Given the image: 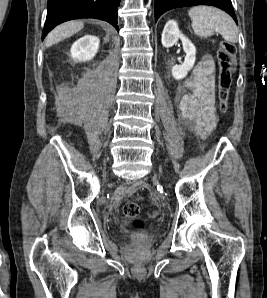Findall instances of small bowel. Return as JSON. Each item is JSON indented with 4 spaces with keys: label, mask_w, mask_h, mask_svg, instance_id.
<instances>
[{
    "label": "small bowel",
    "mask_w": 267,
    "mask_h": 298,
    "mask_svg": "<svg viewBox=\"0 0 267 298\" xmlns=\"http://www.w3.org/2000/svg\"><path fill=\"white\" fill-rule=\"evenodd\" d=\"M214 72V60L204 57L185 80L177 103L182 122L201 138H206L217 124Z\"/></svg>",
    "instance_id": "c3829d8e"
}]
</instances>
